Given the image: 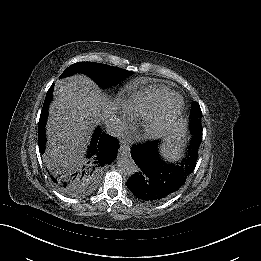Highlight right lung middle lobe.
Wrapping results in <instances>:
<instances>
[{
  "mask_svg": "<svg viewBox=\"0 0 261 261\" xmlns=\"http://www.w3.org/2000/svg\"><path fill=\"white\" fill-rule=\"evenodd\" d=\"M78 71L88 74L101 87L113 85L132 73L106 64L80 62L69 66L62 76H68ZM87 158L73 164L68 160L59 164L54 169V177L52 179H55V181H53L64 192L81 193L83 184L88 183L91 185L95 181L97 174L94 168L93 157L88 155ZM66 183L68 185H65Z\"/></svg>",
  "mask_w": 261,
  "mask_h": 261,
  "instance_id": "1",
  "label": "right lung middle lobe"
}]
</instances>
